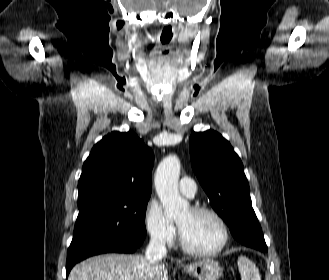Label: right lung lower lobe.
<instances>
[{
  "instance_id": "1",
  "label": "right lung lower lobe",
  "mask_w": 329,
  "mask_h": 280,
  "mask_svg": "<svg viewBox=\"0 0 329 280\" xmlns=\"http://www.w3.org/2000/svg\"><path fill=\"white\" fill-rule=\"evenodd\" d=\"M139 246L108 239L89 241L74 252L67 254L66 274H69L76 263L90 256L109 252L133 253Z\"/></svg>"
}]
</instances>
